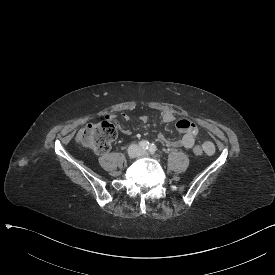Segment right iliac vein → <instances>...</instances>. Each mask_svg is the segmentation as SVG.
<instances>
[{
  "mask_svg": "<svg viewBox=\"0 0 275 275\" xmlns=\"http://www.w3.org/2000/svg\"><path fill=\"white\" fill-rule=\"evenodd\" d=\"M140 153V150L138 148V146L136 145H131L129 148H128V156L130 158H135L139 155Z\"/></svg>",
  "mask_w": 275,
  "mask_h": 275,
  "instance_id": "right-iliac-vein-1",
  "label": "right iliac vein"
}]
</instances>
